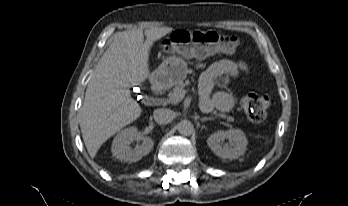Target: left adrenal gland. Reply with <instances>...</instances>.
<instances>
[{"mask_svg": "<svg viewBox=\"0 0 348 206\" xmlns=\"http://www.w3.org/2000/svg\"><path fill=\"white\" fill-rule=\"evenodd\" d=\"M199 118V117H196V119ZM208 120H212V118L210 117H203V118H200V121L201 122H205V121H208Z\"/></svg>", "mask_w": 348, "mask_h": 206, "instance_id": "a2214340", "label": "left adrenal gland"}]
</instances>
